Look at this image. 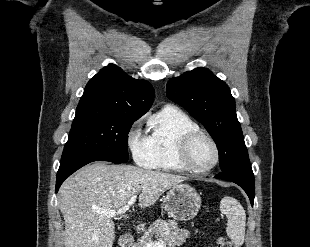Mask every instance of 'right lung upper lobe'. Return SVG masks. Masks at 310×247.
Listing matches in <instances>:
<instances>
[{
    "mask_svg": "<svg viewBox=\"0 0 310 247\" xmlns=\"http://www.w3.org/2000/svg\"><path fill=\"white\" fill-rule=\"evenodd\" d=\"M152 85L109 64L87 83L76 112H106L141 117L154 100Z\"/></svg>",
    "mask_w": 310,
    "mask_h": 247,
    "instance_id": "obj_1",
    "label": "right lung upper lobe"
}]
</instances>
